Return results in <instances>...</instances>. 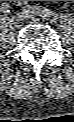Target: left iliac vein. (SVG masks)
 I'll list each match as a JSON object with an SVG mask.
<instances>
[{"label":"left iliac vein","instance_id":"left-iliac-vein-1","mask_svg":"<svg viewBox=\"0 0 74 122\" xmlns=\"http://www.w3.org/2000/svg\"><path fill=\"white\" fill-rule=\"evenodd\" d=\"M19 16L21 17L22 20H26L28 22H32V23H39V22H41V19L39 17L32 16L30 14L22 13Z\"/></svg>","mask_w":74,"mask_h":122}]
</instances>
